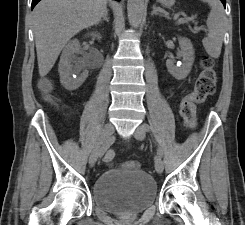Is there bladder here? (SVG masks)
<instances>
[{
    "label": "bladder",
    "mask_w": 245,
    "mask_h": 225,
    "mask_svg": "<svg viewBox=\"0 0 245 225\" xmlns=\"http://www.w3.org/2000/svg\"><path fill=\"white\" fill-rule=\"evenodd\" d=\"M157 197L155 180L141 169L104 170L92 185L94 204L117 216L140 214Z\"/></svg>",
    "instance_id": "1"
}]
</instances>
